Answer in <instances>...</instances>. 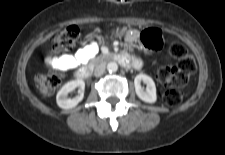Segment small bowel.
Returning <instances> with one entry per match:
<instances>
[{
  "label": "small bowel",
  "mask_w": 225,
  "mask_h": 155,
  "mask_svg": "<svg viewBox=\"0 0 225 155\" xmlns=\"http://www.w3.org/2000/svg\"><path fill=\"white\" fill-rule=\"evenodd\" d=\"M139 34L136 31H131L127 34L126 41L130 50H133L138 43ZM98 52V44L93 42L86 45L76 51L75 54H64L59 57L51 58L48 63L51 67L66 70L74 68L80 64L87 62L94 57ZM136 63L139 64L138 59L135 56L131 57Z\"/></svg>",
  "instance_id": "1"
}]
</instances>
